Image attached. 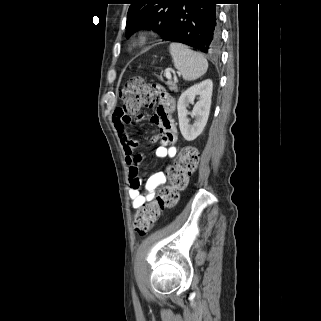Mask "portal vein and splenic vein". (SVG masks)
Instances as JSON below:
<instances>
[{
  "mask_svg": "<svg viewBox=\"0 0 321 321\" xmlns=\"http://www.w3.org/2000/svg\"><path fill=\"white\" fill-rule=\"evenodd\" d=\"M178 75H180V74H178ZM165 76H166V78L171 79V73L169 70L165 71Z\"/></svg>",
  "mask_w": 321,
  "mask_h": 321,
  "instance_id": "portal-vein-and-splenic-vein-1",
  "label": "portal vein and splenic vein"
}]
</instances>
